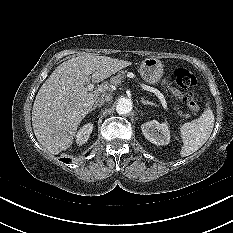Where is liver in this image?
I'll use <instances>...</instances> for the list:
<instances>
[{
	"mask_svg": "<svg viewBox=\"0 0 233 233\" xmlns=\"http://www.w3.org/2000/svg\"><path fill=\"white\" fill-rule=\"evenodd\" d=\"M130 64L94 54L60 64L40 87L33 104L32 126L39 143L52 154L69 148L95 100L108 90L107 84L94 91L85 85L90 80L102 82Z\"/></svg>",
	"mask_w": 233,
	"mask_h": 233,
	"instance_id": "1",
	"label": "liver"
}]
</instances>
